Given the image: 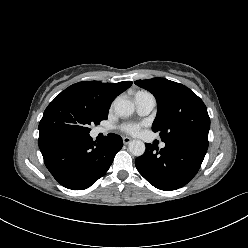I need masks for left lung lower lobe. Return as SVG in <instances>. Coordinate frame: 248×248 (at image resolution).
<instances>
[{
	"label": "left lung lower lobe",
	"mask_w": 248,
	"mask_h": 248,
	"mask_svg": "<svg viewBox=\"0 0 248 248\" xmlns=\"http://www.w3.org/2000/svg\"><path fill=\"white\" fill-rule=\"evenodd\" d=\"M161 150L146 144L145 153L135 165L154 187L170 191L186 185L198 172L208 148L207 141L178 140L165 142Z\"/></svg>",
	"instance_id": "0a47b994"
}]
</instances>
